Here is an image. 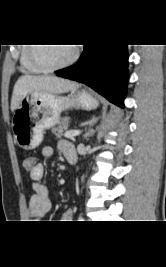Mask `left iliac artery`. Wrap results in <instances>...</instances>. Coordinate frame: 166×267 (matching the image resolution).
<instances>
[{
	"label": "left iliac artery",
	"mask_w": 166,
	"mask_h": 267,
	"mask_svg": "<svg viewBox=\"0 0 166 267\" xmlns=\"http://www.w3.org/2000/svg\"><path fill=\"white\" fill-rule=\"evenodd\" d=\"M79 221H83V217L81 215L79 216Z\"/></svg>",
	"instance_id": "1"
}]
</instances>
